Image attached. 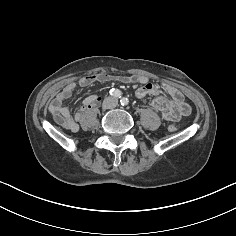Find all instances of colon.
I'll list each match as a JSON object with an SVG mask.
<instances>
[{
  "label": "colon",
  "instance_id": "1",
  "mask_svg": "<svg viewBox=\"0 0 236 236\" xmlns=\"http://www.w3.org/2000/svg\"><path fill=\"white\" fill-rule=\"evenodd\" d=\"M169 129H170L171 131H174V130H176V127H175L174 125H171V126L169 127Z\"/></svg>",
  "mask_w": 236,
  "mask_h": 236
}]
</instances>
